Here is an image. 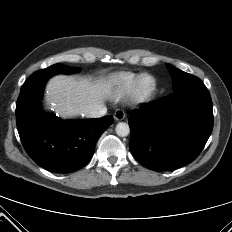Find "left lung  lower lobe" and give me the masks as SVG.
Segmentation results:
<instances>
[{"label":"left lung lower lobe","mask_w":232,"mask_h":232,"mask_svg":"<svg viewBox=\"0 0 232 232\" xmlns=\"http://www.w3.org/2000/svg\"><path fill=\"white\" fill-rule=\"evenodd\" d=\"M130 151L154 171L173 170L196 159L213 129V107L202 82L143 105L128 118Z\"/></svg>","instance_id":"0a47b994"}]
</instances>
